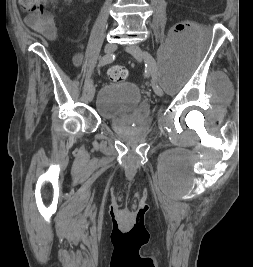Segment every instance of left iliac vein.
<instances>
[{
    "mask_svg": "<svg viewBox=\"0 0 253 267\" xmlns=\"http://www.w3.org/2000/svg\"><path fill=\"white\" fill-rule=\"evenodd\" d=\"M126 51L129 52L137 61H142L143 59L145 60L146 56L150 55L148 52L143 51L137 45L127 46ZM154 92L158 96H163L164 94L162 88L158 85L154 86Z\"/></svg>",
    "mask_w": 253,
    "mask_h": 267,
    "instance_id": "1",
    "label": "left iliac vein"
}]
</instances>
